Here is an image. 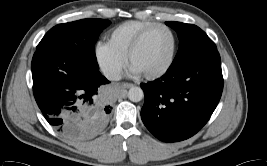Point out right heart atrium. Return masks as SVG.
<instances>
[{
  "instance_id": "d8ad5b80",
  "label": "right heart atrium",
  "mask_w": 267,
  "mask_h": 166,
  "mask_svg": "<svg viewBox=\"0 0 267 166\" xmlns=\"http://www.w3.org/2000/svg\"><path fill=\"white\" fill-rule=\"evenodd\" d=\"M95 57L97 63L107 76L113 77L118 75L124 66V57L106 42L97 43Z\"/></svg>"
}]
</instances>
